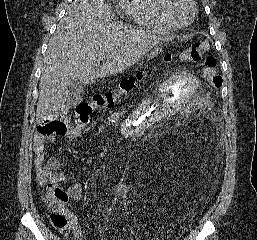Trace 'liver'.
I'll list each match as a JSON object with an SVG mask.
<instances>
[{"instance_id":"obj_1","label":"liver","mask_w":257,"mask_h":240,"mask_svg":"<svg viewBox=\"0 0 257 240\" xmlns=\"http://www.w3.org/2000/svg\"><path fill=\"white\" fill-rule=\"evenodd\" d=\"M164 40L159 34L113 21L104 0H75L48 44L37 117L58 116L72 80L89 84L121 73Z\"/></svg>"}]
</instances>
